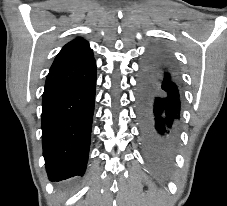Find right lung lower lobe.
Here are the masks:
<instances>
[{"instance_id":"98d812e1","label":"right lung lower lobe","mask_w":227,"mask_h":206,"mask_svg":"<svg viewBox=\"0 0 227 206\" xmlns=\"http://www.w3.org/2000/svg\"><path fill=\"white\" fill-rule=\"evenodd\" d=\"M96 88L92 57L52 68L42 100V144L51 181L85 172Z\"/></svg>"}]
</instances>
